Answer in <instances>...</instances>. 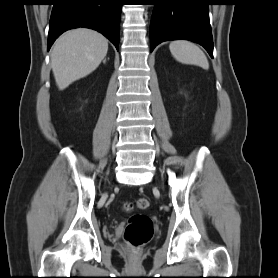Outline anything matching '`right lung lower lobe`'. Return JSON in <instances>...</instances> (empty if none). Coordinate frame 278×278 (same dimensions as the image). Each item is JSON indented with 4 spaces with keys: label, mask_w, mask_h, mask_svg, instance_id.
Here are the masks:
<instances>
[{
    "label": "right lung lower lobe",
    "mask_w": 278,
    "mask_h": 278,
    "mask_svg": "<svg viewBox=\"0 0 278 278\" xmlns=\"http://www.w3.org/2000/svg\"><path fill=\"white\" fill-rule=\"evenodd\" d=\"M122 0H54L49 23L48 50L66 30L87 27L99 31L119 50Z\"/></svg>",
    "instance_id": "obj_1"
}]
</instances>
